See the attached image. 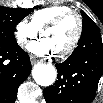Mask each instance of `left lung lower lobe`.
I'll use <instances>...</instances> for the list:
<instances>
[{
    "label": "left lung lower lobe",
    "mask_w": 103,
    "mask_h": 103,
    "mask_svg": "<svg viewBox=\"0 0 103 103\" xmlns=\"http://www.w3.org/2000/svg\"><path fill=\"white\" fill-rule=\"evenodd\" d=\"M56 82L44 89L47 103H91L103 73V43L99 28L82 32L77 48L56 64Z\"/></svg>",
    "instance_id": "left-lung-lower-lobe-1"
}]
</instances>
